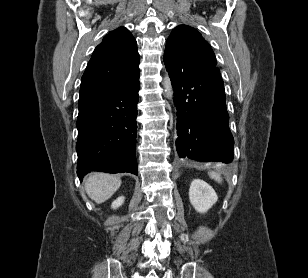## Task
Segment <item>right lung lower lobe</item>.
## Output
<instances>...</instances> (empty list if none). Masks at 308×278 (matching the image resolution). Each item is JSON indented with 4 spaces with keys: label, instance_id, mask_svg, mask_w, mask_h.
<instances>
[{
    "label": "right lung lower lobe",
    "instance_id": "right-lung-lower-lobe-1",
    "mask_svg": "<svg viewBox=\"0 0 308 278\" xmlns=\"http://www.w3.org/2000/svg\"><path fill=\"white\" fill-rule=\"evenodd\" d=\"M139 76L118 91L79 98L77 174L91 170L138 174L135 157Z\"/></svg>",
    "mask_w": 308,
    "mask_h": 278
}]
</instances>
